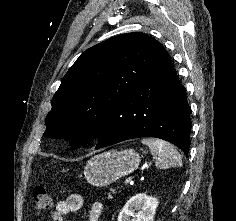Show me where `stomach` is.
I'll list each match as a JSON object with an SVG mask.
<instances>
[{
	"mask_svg": "<svg viewBox=\"0 0 236 221\" xmlns=\"http://www.w3.org/2000/svg\"><path fill=\"white\" fill-rule=\"evenodd\" d=\"M140 161L139 154L133 149L107 151L88 160L84 176L92 186H107L136 170Z\"/></svg>",
	"mask_w": 236,
	"mask_h": 221,
	"instance_id": "1",
	"label": "stomach"
}]
</instances>
